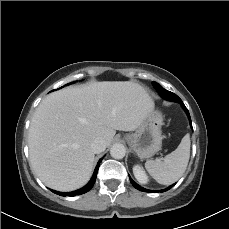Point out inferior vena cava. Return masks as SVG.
Here are the masks:
<instances>
[{"label": "inferior vena cava", "instance_id": "obj_1", "mask_svg": "<svg viewBox=\"0 0 229 229\" xmlns=\"http://www.w3.org/2000/svg\"><path fill=\"white\" fill-rule=\"evenodd\" d=\"M90 147L95 154H99L106 149V144H105L104 139L96 138L92 141V143L90 144Z\"/></svg>", "mask_w": 229, "mask_h": 229}]
</instances>
